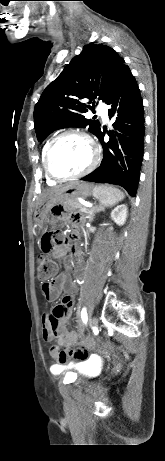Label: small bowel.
<instances>
[{
    "label": "small bowel",
    "instance_id": "small-bowel-1",
    "mask_svg": "<svg viewBox=\"0 0 165 461\" xmlns=\"http://www.w3.org/2000/svg\"><path fill=\"white\" fill-rule=\"evenodd\" d=\"M50 216L54 221H57L59 217L69 218L73 225L80 222L82 218L81 214H75L73 209H69L68 204H53L52 209H50ZM67 249L66 244L58 245L53 248L52 256L62 258ZM73 253L79 257L77 250H73ZM63 290L66 291V295L62 298L61 303L57 304L51 313L44 314L42 317V335L45 341L76 340L77 342L80 339L77 332L67 329V323L72 317L75 292V284L71 276L67 273H60L52 281H44L41 284L42 294L48 301L56 300ZM54 310L59 312L58 316L54 314ZM50 355L58 363H65L68 359V351L60 352L55 345L52 346Z\"/></svg>",
    "mask_w": 165,
    "mask_h": 461
}]
</instances>
